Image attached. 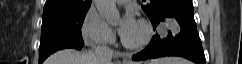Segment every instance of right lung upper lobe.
<instances>
[{
	"label": "right lung upper lobe",
	"instance_id": "right-lung-upper-lobe-1",
	"mask_svg": "<svg viewBox=\"0 0 242 64\" xmlns=\"http://www.w3.org/2000/svg\"><path fill=\"white\" fill-rule=\"evenodd\" d=\"M92 0H47L43 14L88 10Z\"/></svg>",
	"mask_w": 242,
	"mask_h": 64
}]
</instances>
